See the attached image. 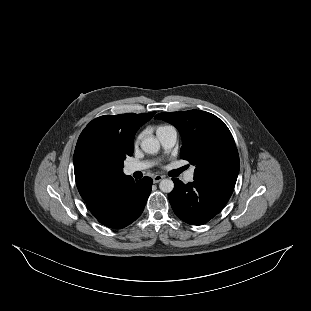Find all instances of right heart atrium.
I'll return each instance as SVG.
<instances>
[{"mask_svg":"<svg viewBox=\"0 0 311 311\" xmlns=\"http://www.w3.org/2000/svg\"><path fill=\"white\" fill-rule=\"evenodd\" d=\"M141 136H142V134H139V135L135 138V140H134V145L139 144V141H140V139H141Z\"/></svg>","mask_w":311,"mask_h":311,"instance_id":"1","label":"right heart atrium"}]
</instances>
